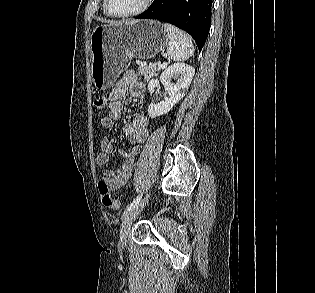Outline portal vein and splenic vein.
<instances>
[{"instance_id":"portal-vein-and-splenic-vein-1","label":"portal vein and splenic vein","mask_w":315,"mask_h":293,"mask_svg":"<svg viewBox=\"0 0 315 293\" xmlns=\"http://www.w3.org/2000/svg\"><path fill=\"white\" fill-rule=\"evenodd\" d=\"M153 65L156 66V67H157V65H158L159 68H162V65H160L159 63H158V64H157V63H154Z\"/></svg>"}]
</instances>
